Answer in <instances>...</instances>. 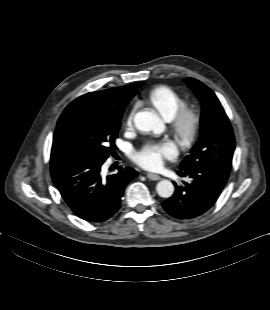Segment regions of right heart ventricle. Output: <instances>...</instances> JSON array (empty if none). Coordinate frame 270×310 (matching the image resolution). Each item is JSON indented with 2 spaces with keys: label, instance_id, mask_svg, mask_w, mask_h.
I'll return each instance as SVG.
<instances>
[{
  "label": "right heart ventricle",
  "instance_id": "e07e8e85",
  "mask_svg": "<svg viewBox=\"0 0 270 310\" xmlns=\"http://www.w3.org/2000/svg\"><path fill=\"white\" fill-rule=\"evenodd\" d=\"M149 102L166 120H170L184 105L182 97L168 86H157L148 94Z\"/></svg>",
  "mask_w": 270,
  "mask_h": 310
}]
</instances>
